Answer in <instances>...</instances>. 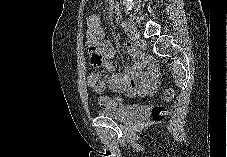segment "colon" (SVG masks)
<instances>
[{"instance_id": "5ec220e1", "label": "colon", "mask_w": 227, "mask_h": 157, "mask_svg": "<svg viewBox=\"0 0 227 157\" xmlns=\"http://www.w3.org/2000/svg\"><path fill=\"white\" fill-rule=\"evenodd\" d=\"M93 64H100L101 62H92ZM89 83L90 85L98 92L103 91V84L100 76L97 73H91L89 75ZM175 95V91L172 88L167 89L163 94L164 101H170L173 99ZM98 104L101 107H119L124 103V99L122 97L110 98L105 95H100L97 99ZM167 115V109L165 106L161 104H154L151 109L152 119L155 121L163 120Z\"/></svg>"}]
</instances>
